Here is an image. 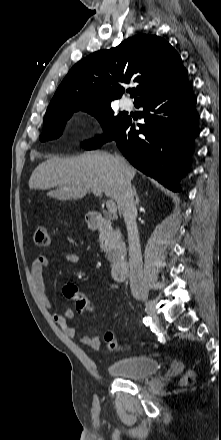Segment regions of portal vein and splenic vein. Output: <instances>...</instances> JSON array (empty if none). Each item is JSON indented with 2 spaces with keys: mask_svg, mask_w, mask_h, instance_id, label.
<instances>
[{
  "mask_svg": "<svg viewBox=\"0 0 221 440\" xmlns=\"http://www.w3.org/2000/svg\"><path fill=\"white\" fill-rule=\"evenodd\" d=\"M93 193H94L96 196H101V195H102V192L97 191V190H93ZM106 207H107L109 213H111V214H116V212H117V207H116L115 202H114L112 199H109V200L106 201Z\"/></svg>",
  "mask_w": 221,
  "mask_h": 440,
  "instance_id": "18ae733b",
  "label": "portal vein and splenic vein"
}]
</instances>
